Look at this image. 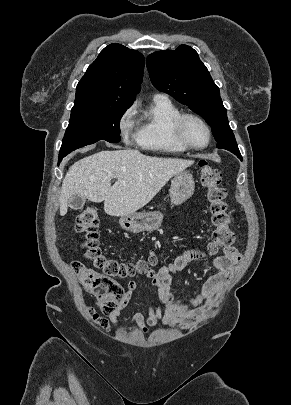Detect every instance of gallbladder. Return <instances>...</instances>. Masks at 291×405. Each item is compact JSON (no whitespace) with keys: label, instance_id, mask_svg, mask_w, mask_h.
Returning <instances> with one entry per match:
<instances>
[{"label":"gallbladder","instance_id":"gallbladder-1","mask_svg":"<svg viewBox=\"0 0 291 405\" xmlns=\"http://www.w3.org/2000/svg\"><path fill=\"white\" fill-rule=\"evenodd\" d=\"M85 201V197L74 195L73 198L69 201V207L74 210L82 209Z\"/></svg>","mask_w":291,"mask_h":405}]
</instances>
